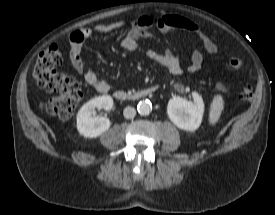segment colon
I'll return each instance as SVG.
<instances>
[{
  "mask_svg": "<svg viewBox=\"0 0 275 215\" xmlns=\"http://www.w3.org/2000/svg\"><path fill=\"white\" fill-rule=\"evenodd\" d=\"M62 61L61 51L57 47H49L38 55L33 66V76L43 89L55 93L47 101L48 111L61 120H67L79 105L82 90L78 81L57 70ZM243 65V59L234 56L229 59L226 67L234 72L242 69ZM253 95L250 86L243 87L240 91L242 100H251Z\"/></svg>",
  "mask_w": 275,
  "mask_h": 215,
  "instance_id": "colon-1",
  "label": "colon"
}]
</instances>
